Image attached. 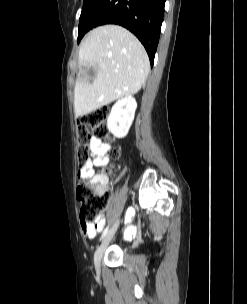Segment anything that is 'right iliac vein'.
<instances>
[{"instance_id":"63e3f726","label":"right iliac vein","mask_w":247,"mask_h":304,"mask_svg":"<svg viewBox=\"0 0 247 304\" xmlns=\"http://www.w3.org/2000/svg\"><path fill=\"white\" fill-rule=\"evenodd\" d=\"M118 225H119V220H116L115 223L110 228V230L108 231V233L106 234V236L103 238L100 246L97 248L94 256V262L96 268H100L103 254L107 246L109 245L110 241L112 240L113 236L115 235Z\"/></svg>"}]
</instances>
